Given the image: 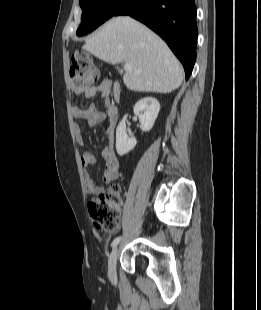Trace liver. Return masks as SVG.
Returning <instances> with one entry per match:
<instances>
[{
    "mask_svg": "<svg viewBox=\"0 0 261 310\" xmlns=\"http://www.w3.org/2000/svg\"><path fill=\"white\" fill-rule=\"evenodd\" d=\"M82 49L110 64H130L123 82L132 91L170 93L184 78L180 62L166 43L129 16L110 19L86 39Z\"/></svg>",
    "mask_w": 261,
    "mask_h": 310,
    "instance_id": "liver-1",
    "label": "liver"
}]
</instances>
